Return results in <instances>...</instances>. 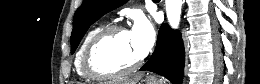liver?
Instances as JSON below:
<instances>
[{
	"instance_id": "6515ba94",
	"label": "liver",
	"mask_w": 260,
	"mask_h": 84,
	"mask_svg": "<svg viewBox=\"0 0 260 84\" xmlns=\"http://www.w3.org/2000/svg\"><path fill=\"white\" fill-rule=\"evenodd\" d=\"M142 76H143V74H138V75L130 77V78H128V77L123 78L121 80V84H136L142 78Z\"/></svg>"
}]
</instances>
